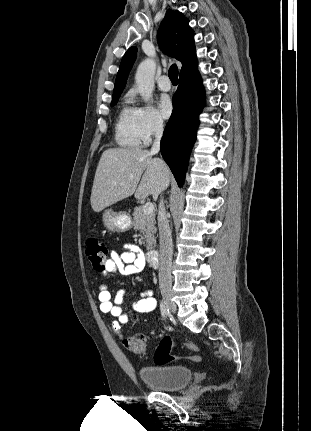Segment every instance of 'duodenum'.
<instances>
[{
  "instance_id": "obj_1",
  "label": "duodenum",
  "mask_w": 311,
  "mask_h": 431,
  "mask_svg": "<svg viewBox=\"0 0 311 431\" xmlns=\"http://www.w3.org/2000/svg\"><path fill=\"white\" fill-rule=\"evenodd\" d=\"M147 259L153 267H157L159 263V252L156 249H150L147 252Z\"/></svg>"
}]
</instances>
